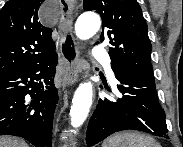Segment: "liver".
I'll use <instances>...</instances> for the list:
<instances>
[{
  "mask_svg": "<svg viewBox=\"0 0 183 147\" xmlns=\"http://www.w3.org/2000/svg\"><path fill=\"white\" fill-rule=\"evenodd\" d=\"M0 147H28V145L16 138L0 137Z\"/></svg>",
  "mask_w": 183,
  "mask_h": 147,
  "instance_id": "liver-1",
  "label": "liver"
}]
</instances>
